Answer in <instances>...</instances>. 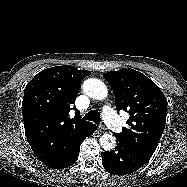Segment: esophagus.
<instances>
[{
	"mask_svg": "<svg viewBox=\"0 0 187 187\" xmlns=\"http://www.w3.org/2000/svg\"><path fill=\"white\" fill-rule=\"evenodd\" d=\"M98 129H99L100 132H104V131L107 130V128H106V126L104 124H100Z\"/></svg>",
	"mask_w": 187,
	"mask_h": 187,
	"instance_id": "1",
	"label": "esophagus"
}]
</instances>
